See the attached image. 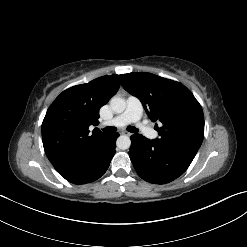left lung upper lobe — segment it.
Returning a JSON list of instances; mask_svg holds the SVG:
<instances>
[{
    "label": "left lung upper lobe",
    "mask_w": 247,
    "mask_h": 247,
    "mask_svg": "<svg viewBox=\"0 0 247 247\" xmlns=\"http://www.w3.org/2000/svg\"><path fill=\"white\" fill-rule=\"evenodd\" d=\"M123 88L136 96L152 121H160L166 149L194 158L204 137V115L194 95L181 83L151 73L120 75Z\"/></svg>",
    "instance_id": "obj_1"
}]
</instances>
